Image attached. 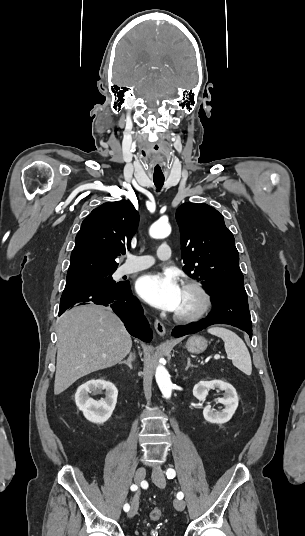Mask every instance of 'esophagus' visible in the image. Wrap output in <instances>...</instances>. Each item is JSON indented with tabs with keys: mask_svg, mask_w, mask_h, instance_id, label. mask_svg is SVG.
<instances>
[{
	"mask_svg": "<svg viewBox=\"0 0 305 536\" xmlns=\"http://www.w3.org/2000/svg\"><path fill=\"white\" fill-rule=\"evenodd\" d=\"M154 327H155V330L157 331V333L160 335V336H164L165 333H166V329H165V326L163 325V323L160 321V320H155L154 322Z\"/></svg>",
	"mask_w": 305,
	"mask_h": 536,
	"instance_id": "esophagus-1",
	"label": "esophagus"
}]
</instances>
